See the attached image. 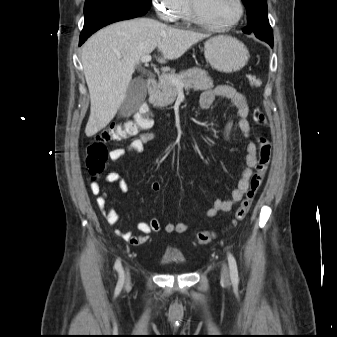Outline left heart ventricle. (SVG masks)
Segmentation results:
<instances>
[{"label":"left heart ventricle","mask_w":337,"mask_h":337,"mask_svg":"<svg viewBox=\"0 0 337 337\" xmlns=\"http://www.w3.org/2000/svg\"><path fill=\"white\" fill-rule=\"evenodd\" d=\"M200 14L208 21L225 24L232 21L238 12L235 0H194Z\"/></svg>","instance_id":"1"}]
</instances>
